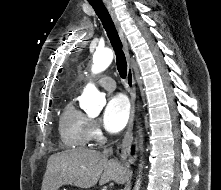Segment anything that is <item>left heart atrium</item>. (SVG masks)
<instances>
[{
  "instance_id": "left-heart-atrium-1",
  "label": "left heart atrium",
  "mask_w": 221,
  "mask_h": 190,
  "mask_svg": "<svg viewBox=\"0 0 221 190\" xmlns=\"http://www.w3.org/2000/svg\"><path fill=\"white\" fill-rule=\"evenodd\" d=\"M130 105L123 95H115L108 99L103 116L104 128L112 133L122 130L128 122Z\"/></svg>"
}]
</instances>
